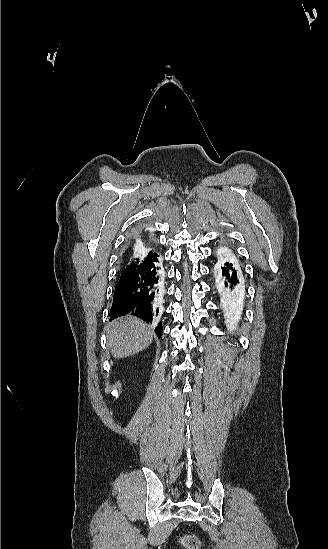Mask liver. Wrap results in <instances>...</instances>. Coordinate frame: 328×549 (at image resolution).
Segmentation results:
<instances>
[{
  "mask_svg": "<svg viewBox=\"0 0 328 549\" xmlns=\"http://www.w3.org/2000/svg\"><path fill=\"white\" fill-rule=\"evenodd\" d=\"M107 339V345L114 359H124L145 351L153 341V333L149 325L141 319L120 317L112 321Z\"/></svg>",
  "mask_w": 328,
  "mask_h": 549,
  "instance_id": "liver-1",
  "label": "liver"
}]
</instances>
